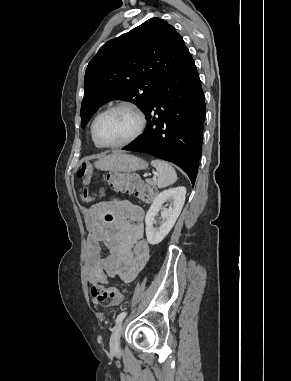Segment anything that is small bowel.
<instances>
[{
	"mask_svg": "<svg viewBox=\"0 0 291 381\" xmlns=\"http://www.w3.org/2000/svg\"><path fill=\"white\" fill-rule=\"evenodd\" d=\"M110 211L114 216L113 232L104 222L103 215ZM91 230L87 240L85 260L87 279L91 284H105L108 277L122 276L126 282L134 280L150 256V247L144 239V210L128 201L112 207L98 204L83 209ZM101 243L108 253L103 256ZM98 303L97 299H94Z\"/></svg>",
	"mask_w": 291,
	"mask_h": 381,
	"instance_id": "obj_1",
	"label": "small bowel"
}]
</instances>
